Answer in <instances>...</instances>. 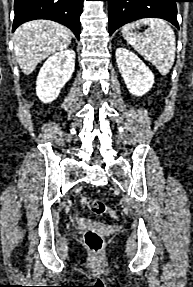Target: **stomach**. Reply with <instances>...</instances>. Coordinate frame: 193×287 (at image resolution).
<instances>
[{"mask_svg":"<svg viewBox=\"0 0 193 287\" xmlns=\"http://www.w3.org/2000/svg\"><path fill=\"white\" fill-rule=\"evenodd\" d=\"M137 29H140V25H139V26H137Z\"/></svg>","mask_w":193,"mask_h":287,"instance_id":"1","label":"stomach"}]
</instances>
